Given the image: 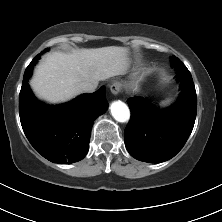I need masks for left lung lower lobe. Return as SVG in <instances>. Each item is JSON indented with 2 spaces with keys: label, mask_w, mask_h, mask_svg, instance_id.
Returning a JSON list of instances; mask_svg holds the SVG:
<instances>
[{
  "label": "left lung lower lobe",
  "mask_w": 222,
  "mask_h": 222,
  "mask_svg": "<svg viewBox=\"0 0 222 222\" xmlns=\"http://www.w3.org/2000/svg\"><path fill=\"white\" fill-rule=\"evenodd\" d=\"M181 95L161 110L142 97L129 98L131 119L124 131L125 146L136 159L160 163L174 157L194 127L197 110L195 86L189 71L177 73Z\"/></svg>",
  "instance_id": "obj_1"
}]
</instances>
